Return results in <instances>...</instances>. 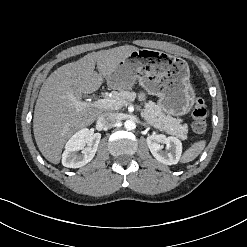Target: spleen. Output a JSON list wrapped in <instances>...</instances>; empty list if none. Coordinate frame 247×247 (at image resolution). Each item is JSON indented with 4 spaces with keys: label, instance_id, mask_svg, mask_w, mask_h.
<instances>
[{
    "label": "spleen",
    "instance_id": "obj_1",
    "mask_svg": "<svg viewBox=\"0 0 247 247\" xmlns=\"http://www.w3.org/2000/svg\"><path fill=\"white\" fill-rule=\"evenodd\" d=\"M205 145L206 141L204 140L193 143L191 147L184 152L181 162L188 163L193 161L204 150Z\"/></svg>",
    "mask_w": 247,
    "mask_h": 247
}]
</instances>
